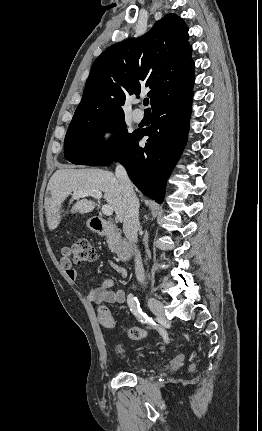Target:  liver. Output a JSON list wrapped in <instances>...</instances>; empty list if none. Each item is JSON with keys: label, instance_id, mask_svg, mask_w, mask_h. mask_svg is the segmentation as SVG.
I'll return each mask as SVG.
<instances>
[{"label": "liver", "instance_id": "liver-1", "mask_svg": "<svg viewBox=\"0 0 262 431\" xmlns=\"http://www.w3.org/2000/svg\"><path fill=\"white\" fill-rule=\"evenodd\" d=\"M100 191L103 198L115 211L119 221L124 217V192L114 174L103 169H59L49 180L47 191L50 198L45 200L46 218L49 230L57 228L61 221V206L64 200L74 192ZM95 207L91 200L77 201L71 213H89Z\"/></svg>", "mask_w": 262, "mask_h": 431}]
</instances>
